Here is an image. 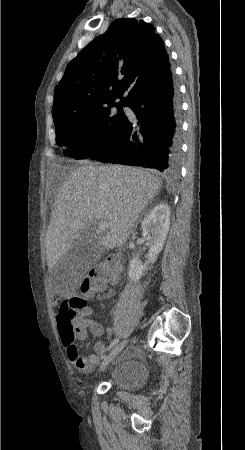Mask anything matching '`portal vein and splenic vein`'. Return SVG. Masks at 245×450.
I'll return each instance as SVG.
<instances>
[{
  "label": "portal vein and splenic vein",
  "instance_id": "1",
  "mask_svg": "<svg viewBox=\"0 0 245 450\" xmlns=\"http://www.w3.org/2000/svg\"><path fill=\"white\" fill-rule=\"evenodd\" d=\"M98 229L100 231H106L108 229V223L106 221H100L98 223Z\"/></svg>",
  "mask_w": 245,
  "mask_h": 450
}]
</instances>
